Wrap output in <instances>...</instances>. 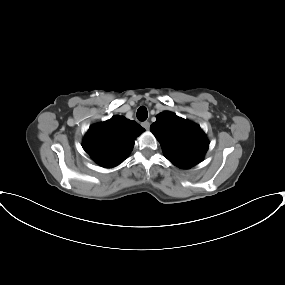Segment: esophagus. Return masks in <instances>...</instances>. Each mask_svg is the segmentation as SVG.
Wrapping results in <instances>:
<instances>
[{"instance_id": "1", "label": "esophagus", "mask_w": 285, "mask_h": 285, "mask_svg": "<svg viewBox=\"0 0 285 285\" xmlns=\"http://www.w3.org/2000/svg\"><path fill=\"white\" fill-rule=\"evenodd\" d=\"M142 126H143L146 130H148V129L150 128V123H149L148 121H145V122L142 123Z\"/></svg>"}]
</instances>
